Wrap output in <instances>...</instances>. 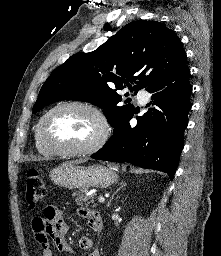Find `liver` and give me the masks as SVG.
Instances as JSON below:
<instances>
[{"mask_svg":"<svg viewBox=\"0 0 221 256\" xmlns=\"http://www.w3.org/2000/svg\"><path fill=\"white\" fill-rule=\"evenodd\" d=\"M83 161L82 160H75V161H69L67 163H71V164H80L82 163Z\"/></svg>","mask_w":221,"mask_h":256,"instance_id":"obj_1","label":"liver"}]
</instances>
